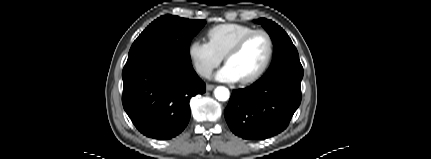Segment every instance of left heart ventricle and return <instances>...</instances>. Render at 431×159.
Here are the masks:
<instances>
[{
    "label": "left heart ventricle",
    "mask_w": 431,
    "mask_h": 159,
    "mask_svg": "<svg viewBox=\"0 0 431 159\" xmlns=\"http://www.w3.org/2000/svg\"><path fill=\"white\" fill-rule=\"evenodd\" d=\"M268 50L267 38L262 34H257L226 64L233 69L240 80L255 73L263 65L268 55Z\"/></svg>",
    "instance_id": "obj_1"
}]
</instances>
